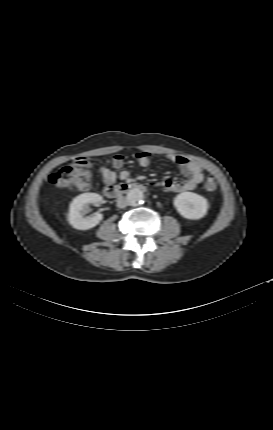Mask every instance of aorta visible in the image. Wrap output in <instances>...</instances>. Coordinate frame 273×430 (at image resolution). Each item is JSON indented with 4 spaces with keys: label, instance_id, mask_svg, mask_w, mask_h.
<instances>
[{
    "label": "aorta",
    "instance_id": "obj_1",
    "mask_svg": "<svg viewBox=\"0 0 273 430\" xmlns=\"http://www.w3.org/2000/svg\"><path fill=\"white\" fill-rule=\"evenodd\" d=\"M143 198V192L138 188L131 189L126 196L127 202L131 206L140 205L143 201Z\"/></svg>",
    "mask_w": 273,
    "mask_h": 430
}]
</instances>
